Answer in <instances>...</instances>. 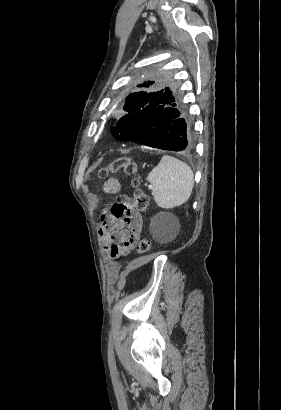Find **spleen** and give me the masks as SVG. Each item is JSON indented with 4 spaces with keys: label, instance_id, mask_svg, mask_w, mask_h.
Instances as JSON below:
<instances>
[{
    "label": "spleen",
    "instance_id": "spleen-1",
    "mask_svg": "<svg viewBox=\"0 0 281 410\" xmlns=\"http://www.w3.org/2000/svg\"><path fill=\"white\" fill-rule=\"evenodd\" d=\"M147 181L156 204L162 208H174L189 199L194 175L186 163L164 155L148 174Z\"/></svg>",
    "mask_w": 281,
    "mask_h": 410
}]
</instances>
